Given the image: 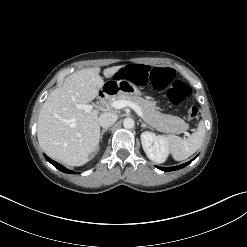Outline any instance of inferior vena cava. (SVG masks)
I'll return each mask as SVG.
<instances>
[{"label":"inferior vena cava","mask_w":247,"mask_h":247,"mask_svg":"<svg viewBox=\"0 0 247 247\" xmlns=\"http://www.w3.org/2000/svg\"><path fill=\"white\" fill-rule=\"evenodd\" d=\"M98 120L101 127L108 128L117 121V116L111 112H104L99 116Z\"/></svg>","instance_id":"inferior-vena-cava-1"}]
</instances>
